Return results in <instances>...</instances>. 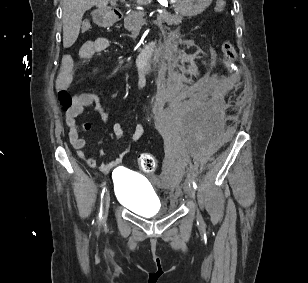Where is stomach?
<instances>
[{
	"mask_svg": "<svg viewBox=\"0 0 308 283\" xmlns=\"http://www.w3.org/2000/svg\"><path fill=\"white\" fill-rule=\"evenodd\" d=\"M175 3L176 12L181 16H196L201 14L212 2V0H170ZM100 24H110L111 21L103 13L99 16Z\"/></svg>",
	"mask_w": 308,
	"mask_h": 283,
	"instance_id": "stomach-1",
	"label": "stomach"
}]
</instances>
